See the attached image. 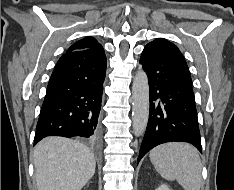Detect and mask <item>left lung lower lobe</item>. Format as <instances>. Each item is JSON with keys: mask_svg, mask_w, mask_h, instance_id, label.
Listing matches in <instances>:
<instances>
[{"mask_svg": "<svg viewBox=\"0 0 234 190\" xmlns=\"http://www.w3.org/2000/svg\"><path fill=\"white\" fill-rule=\"evenodd\" d=\"M180 50L166 39L148 43L140 58L149 81L150 111L137 163L155 146L188 142L202 152L193 90L180 77Z\"/></svg>", "mask_w": 234, "mask_h": 190, "instance_id": "0a47b994", "label": "left lung lower lobe"}]
</instances>
